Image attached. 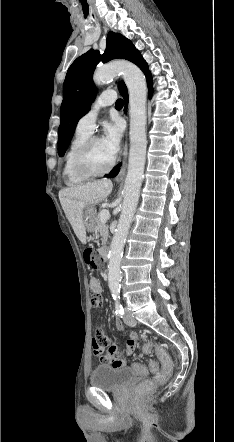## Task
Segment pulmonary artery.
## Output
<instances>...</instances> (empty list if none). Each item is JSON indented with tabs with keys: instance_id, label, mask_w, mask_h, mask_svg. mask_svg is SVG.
Masks as SVG:
<instances>
[{
	"instance_id": "pulmonary-artery-1",
	"label": "pulmonary artery",
	"mask_w": 234,
	"mask_h": 442,
	"mask_svg": "<svg viewBox=\"0 0 234 442\" xmlns=\"http://www.w3.org/2000/svg\"><path fill=\"white\" fill-rule=\"evenodd\" d=\"M116 96L111 91H106L101 93L96 100L93 102L92 106L88 110L87 113H85L78 121L76 130L92 134L94 128H95V121L97 119V116L100 112V110L103 107H106L108 105H111L115 102Z\"/></svg>"
}]
</instances>
